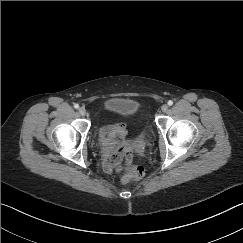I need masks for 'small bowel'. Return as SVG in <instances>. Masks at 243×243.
<instances>
[{"instance_id":"c3829d8e","label":"small bowel","mask_w":243,"mask_h":243,"mask_svg":"<svg viewBox=\"0 0 243 243\" xmlns=\"http://www.w3.org/2000/svg\"><path fill=\"white\" fill-rule=\"evenodd\" d=\"M101 134L104 136L102 167L106 173L112 174L118 171V156L114 154V150L121 147L126 155L129 153L128 148L123 146L127 129L122 124L104 125Z\"/></svg>"}]
</instances>
